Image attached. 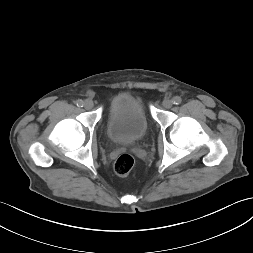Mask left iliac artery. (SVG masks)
<instances>
[{"label":"left iliac artery","mask_w":253,"mask_h":253,"mask_svg":"<svg viewBox=\"0 0 253 253\" xmlns=\"http://www.w3.org/2000/svg\"><path fill=\"white\" fill-rule=\"evenodd\" d=\"M172 101H173V104L178 105V104H180L182 102V99H181V97L176 96V97L173 98Z\"/></svg>","instance_id":"obj_1"}]
</instances>
